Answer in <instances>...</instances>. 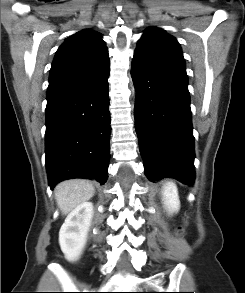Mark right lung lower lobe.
<instances>
[{"instance_id": "right-lung-lower-lobe-1", "label": "right lung lower lobe", "mask_w": 245, "mask_h": 293, "mask_svg": "<svg viewBox=\"0 0 245 293\" xmlns=\"http://www.w3.org/2000/svg\"><path fill=\"white\" fill-rule=\"evenodd\" d=\"M108 77L109 71L47 101L45 152L51 189L72 178L106 182L111 134Z\"/></svg>"}]
</instances>
